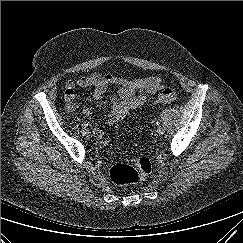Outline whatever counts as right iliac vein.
I'll list each match as a JSON object with an SVG mask.
<instances>
[{"label": "right iliac vein", "mask_w": 243, "mask_h": 243, "mask_svg": "<svg viewBox=\"0 0 243 243\" xmlns=\"http://www.w3.org/2000/svg\"><path fill=\"white\" fill-rule=\"evenodd\" d=\"M81 133H82L83 136H86V137H88V136L90 135L89 130L86 129V128H83V129L81 130Z\"/></svg>", "instance_id": "right-iliac-vein-1"}]
</instances>
